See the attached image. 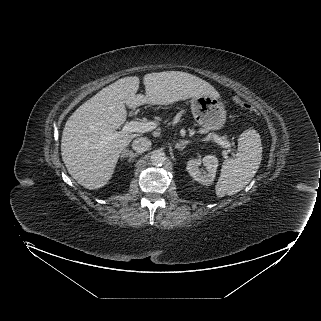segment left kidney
<instances>
[{
    "mask_svg": "<svg viewBox=\"0 0 321 321\" xmlns=\"http://www.w3.org/2000/svg\"><path fill=\"white\" fill-rule=\"evenodd\" d=\"M201 164L205 166L207 171H203L199 168ZM217 167L218 159L213 155H207L203 159L189 160L186 169L194 180L208 185L214 181Z\"/></svg>",
    "mask_w": 321,
    "mask_h": 321,
    "instance_id": "left-kidney-1",
    "label": "left kidney"
}]
</instances>
